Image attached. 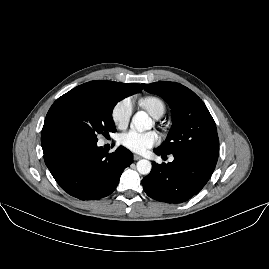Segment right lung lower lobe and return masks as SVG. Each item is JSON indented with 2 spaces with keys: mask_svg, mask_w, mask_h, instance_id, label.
Returning <instances> with one entry per match:
<instances>
[{
  "mask_svg": "<svg viewBox=\"0 0 269 269\" xmlns=\"http://www.w3.org/2000/svg\"><path fill=\"white\" fill-rule=\"evenodd\" d=\"M41 144L45 163L60 187L80 200L110 195L133 154L120 146L111 154L97 141L81 138L71 128L44 123Z\"/></svg>",
  "mask_w": 269,
  "mask_h": 269,
  "instance_id": "obj_1",
  "label": "right lung lower lobe"
}]
</instances>
